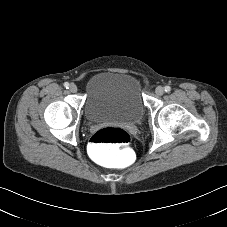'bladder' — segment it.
<instances>
[{
  "instance_id": "31cf9c89",
  "label": "bladder",
  "mask_w": 227,
  "mask_h": 227,
  "mask_svg": "<svg viewBox=\"0 0 227 227\" xmlns=\"http://www.w3.org/2000/svg\"><path fill=\"white\" fill-rule=\"evenodd\" d=\"M144 112L141 81L132 73L103 71L85 83L84 115L90 123L137 124Z\"/></svg>"
}]
</instances>
